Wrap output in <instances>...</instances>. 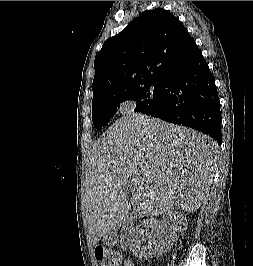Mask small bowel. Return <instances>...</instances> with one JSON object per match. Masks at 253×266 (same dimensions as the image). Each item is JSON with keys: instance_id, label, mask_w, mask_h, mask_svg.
Here are the masks:
<instances>
[{"instance_id": "small-bowel-1", "label": "small bowel", "mask_w": 253, "mask_h": 266, "mask_svg": "<svg viewBox=\"0 0 253 266\" xmlns=\"http://www.w3.org/2000/svg\"><path fill=\"white\" fill-rule=\"evenodd\" d=\"M123 266H134L132 262L128 261L125 262Z\"/></svg>"}]
</instances>
